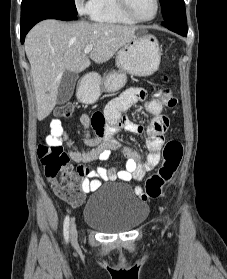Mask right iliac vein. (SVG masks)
<instances>
[{
    "label": "right iliac vein",
    "instance_id": "63e3f726",
    "mask_svg": "<svg viewBox=\"0 0 227 279\" xmlns=\"http://www.w3.org/2000/svg\"><path fill=\"white\" fill-rule=\"evenodd\" d=\"M70 234H71L72 241H76L77 240V229H76V224H75L74 220H72L70 223Z\"/></svg>",
    "mask_w": 227,
    "mask_h": 279
}]
</instances>
